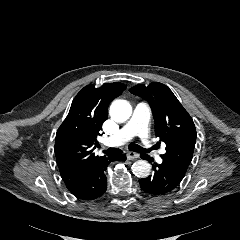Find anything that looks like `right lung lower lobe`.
<instances>
[{"label": "right lung lower lobe", "instance_id": "right-lung-lower-lobe-1", "mask_svg": "<svg viewBox=\"0 0 240 240\" xmlns=\"http://www.w3.org/2000/svg\"><path fill=\"white\" fill-rule=\"evenodd\" d=\"M115 160H126L125 154H116L105 158L95 168L84 175L69 191L77 198L93 200L101 197L107 188L106 167Z\"/></svg>", "mask_w": 240, "mask_h": 240}]
</instances>
